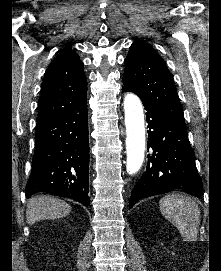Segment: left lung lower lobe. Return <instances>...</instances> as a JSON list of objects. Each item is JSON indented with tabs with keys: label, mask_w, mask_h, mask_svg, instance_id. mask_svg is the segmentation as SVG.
I'll use <instances>...</instances> for the list:
<instances>
[{
	"label": "left lung lower lobe",
	"mask_w": 221,
	"mask_h": 271,
	"mask_svg": "<svg viewBox=\"0 0 221 271\" xmlns=\"http://www.w3.org/2000/svg\"><path fill=\"white\" fill-rule=\"evenodd\" d=\"M122 90L128 91L122 87ZM145 106L148 123L149 157L146 171L135 185L130 208L148 196L183 190L195 197L202 193V182L195 165V154L188 140L186 126Z\"/></svg>",
	"instance_id": "obj_1"
}]
</instances>
